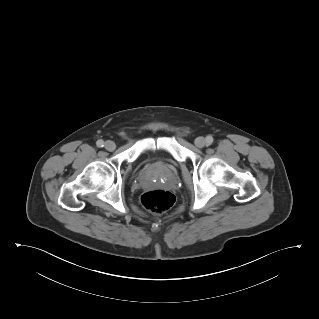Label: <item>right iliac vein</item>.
I'll return each instance as SVG.
<instances>
[{"label":"right iliac vein","instance_id":"63e3f726","mask_svg":"<svg viewBox=\"0 0 319 319\" xmlns=\"http://www.w3.org/2000/svg\"><path fill=\"white\" fill-rule=\"evenodd\" d=\"M105 148L108 151H113L116 148V145H115V143L113 141L109 140V141L105 142Z\"/></svg>","mask_w":319,"mask_h":319}]
</instances>
